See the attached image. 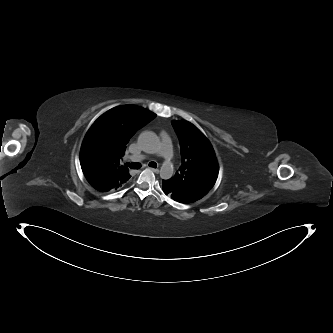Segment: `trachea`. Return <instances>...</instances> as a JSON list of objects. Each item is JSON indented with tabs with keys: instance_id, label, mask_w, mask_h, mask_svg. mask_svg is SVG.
<instances>
[{
	"instance_id": "trachea-1",
	"label": "trachea",
	"mask_w": 333,
	"mask_h": 333,
	"mask_svg": "<svg viewBox=\"0 0 333 333\" xmlns=\"http://www.w3.org/2000/svg\"><path fill=\"white\" fill-rule=\"evenodd\" d=\"M125 165L127 167L131 168V169H139V168H141V164L140 163H126ZM148 165L150 167H153V168L157 167L156 162H150Z\"/></svg>"
}]
</instances>
